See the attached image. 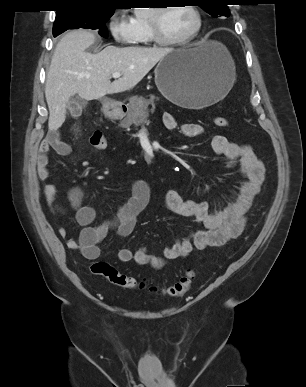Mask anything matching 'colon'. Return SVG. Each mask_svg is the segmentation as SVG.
I'll return each mask as SVG.
<instances>
[{
  "instance_id": "1",
  "label": "colon",
  "mask_w": 306,
  "mask_h": 387,
  "mask_svg": "<svg viewBox=\"0 0 306 387\" xmlns=\"http://www.w3.org/2000/svg\"><path fill=\"white\" fill-rule=\"evenodd\" d=\"M213 123L217 127L225 128L229 126V122L224 117H214ZM90 144L96 149H104L107 147V139L100 131L94 132L90 137ZM90 270L93 274L106 278L111 284L123 289L144 290L148 289L152 292H157L158 289L154 286H149L143 280H137L134 277L128 276L119 272L113 265L105 261H95L91 264ZM196 273L189 269L180 279L174 284L162 289V292L170 297H179L186 293L194 279Z\"/></svg>"
}]
</instances>
